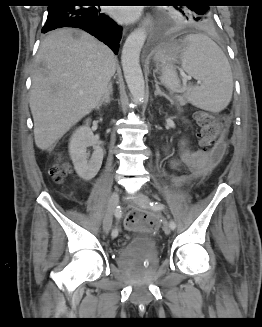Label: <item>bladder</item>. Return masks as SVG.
<instances>
[{"instance_id":"obj_1","label":"bladder","mask_w":262,"mask_h":327,"mask_svg":"<svg viewBox=\"0 0 262 327\" xmlns=\"http://www.w3.org/2000/svg\"><path fill=\"white\" fill-rule=\"evenodd\" d=\"M138 252H147L158 258V249L151 236L138 234L131 237L119 250V259L129 257Z\"/></svg>"}]
</instances>
